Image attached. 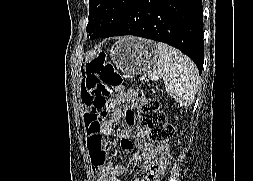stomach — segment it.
Wrapping results in <instances>:
<instances>
[{
	"instance_id": "stomach-1",
	"label": "stomach",
	"mask_w": 253,
	"mask_h": 181,
	"mask_svg": "<svg viewBox=\"0 0 253 181\" xmlns=\"http://www.w3.org/2000/svg\"><path fill=\"white\" fill-rule=\"evenodd\" d=\"M110 58L126 75L152 73L158 60L156 43L138 37H122L110 50Z\"/></svg>"
}]
</instances>
